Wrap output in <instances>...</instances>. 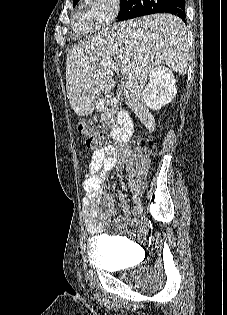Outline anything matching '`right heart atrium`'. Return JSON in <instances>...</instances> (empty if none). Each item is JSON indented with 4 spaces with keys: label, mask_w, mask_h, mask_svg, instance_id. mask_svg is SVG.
I'll list each match as a JSON object with an SVG mask.
<instances>
[{
    "label": "right heart atrium",
    "mask_w": 227,
    "mask_h": 315,
    "mask_svg": "<svg viewBox=\"0 0 227 315\" xmlns=\"http://www.w3.org/2000/svg\"><path fill=\"white\" fill-rule=\"evenodd\" d=\"M93 21L98 28L109 25L120 9L119 0H85Z\"/></svg>",
    "instance_id": "d8ad5b80"
}]
</instances>
